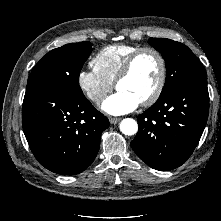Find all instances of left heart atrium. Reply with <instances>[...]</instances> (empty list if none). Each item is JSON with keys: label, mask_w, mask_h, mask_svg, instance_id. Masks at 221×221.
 <instances>
[{"label": "left heart atrium", "mask_w": 221, "mask_h": 221, "mask_svg": "<svg viewBox=\"0 0 221 221\" xmlns=\"http://www.w3.org/2000/svg\"><path fill=\"white\" fill-rule=\"evenodd\" d=\"M140 103L133 95L118 90L103 102L101 108L111 115H123L135 110Z\"/></svg>", "instance_id": "39dd6f15"}]
</instances>
